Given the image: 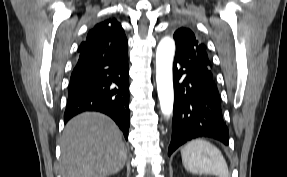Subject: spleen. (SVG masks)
Here are the masks:
<instances>
[{"instance_id": "spleen-1", "label": "spleen", "mask_w": 287, "mask_h": 177, "mask_svg": "<svg viewBox=\"0 0 287 177\" xmlns=\"http://www.w3.org/2000/svg\"><path fill=\"white\" fill-rule=\"evenodd\" d=\"M185 169L193 174H210L230 177L227 163L221 151L203 139H194L181 150Z\"/></svg>"}]
</instances>
